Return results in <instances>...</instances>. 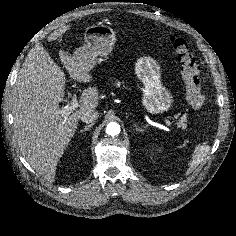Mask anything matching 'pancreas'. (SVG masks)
I'll return each instance as SVG.
<instances>
[{
	"mask_svg": "<svg viewBox=\"0 0 236 236\" xmlns=\"http://www.w3.org/2000/svg\"><path fill=\"white\" fill-rule=\"evenodd\" d=\"M115 82H118V81H115ZM118 83H119V82H118ZM122 83H123V82H122ZM178 116H179V114H178L176 117H178ZM181 121H182L183 123L187 122L185 116L181 117L180 122H181Z\"/></svg>",
	"mask_w": 236,
	"mask_h": 236,
	"instance_id": "pancreas-1",
	"label": "pancreas"
}]
</instances>
